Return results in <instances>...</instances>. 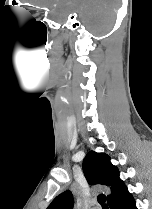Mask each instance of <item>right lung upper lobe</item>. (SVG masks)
Returning a JSON list of instances; mask_svg holds the SVG:
<instances>
[{
    "mask_svg": "<svg viewBox=\"0 0 152 209\" xmlns=\"http://www.w3.org/2000/svg\"><path fill=\"white\" fill-rule=\"evenodd\" d=\"M83 171L89 184H100L110 188L111 194L107 196L108 204L125 188L119 178L117 167L111 164L110 157L105 153L90 151L83 161ZM73 203L71 191L66 190L59 194L47 209H72Z\"/></svg>",
    "mask_w": 152,
    "mask_h": 209,
    "instance_id": "obj_1",
    "label": "right lung upper lobe"
}]
</instances>
